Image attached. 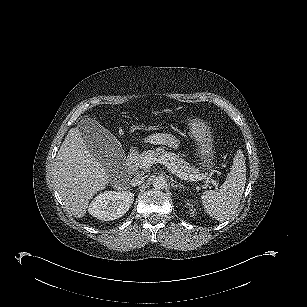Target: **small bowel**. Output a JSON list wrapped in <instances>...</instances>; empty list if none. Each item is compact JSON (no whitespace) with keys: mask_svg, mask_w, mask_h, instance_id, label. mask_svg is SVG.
<instances>
[{"mask_svg":"<svg viewBox=\"0 0 307 307\" xmlns=\"http://www.w3.org/2000/svg\"><path fill=\"white\" fill-rule=\"evenodd\" d=\"M160 142L172 148L178 147V140L170 134L163 133L159 137Z\"/></svg>","mask_w":307,"mask_h":307,"instance_id":"obj_1","label":"small bowel"}]
</instances>
